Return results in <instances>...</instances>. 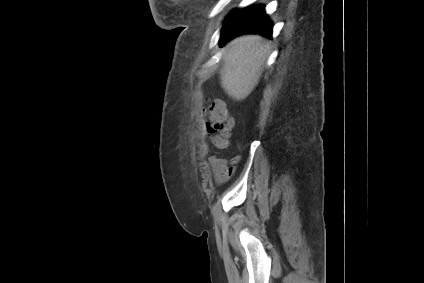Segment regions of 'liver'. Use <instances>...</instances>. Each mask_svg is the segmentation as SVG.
<instances>
[{
  "mask_svg": "<svg viewBox=\"0 0 424 283\" xmlns=\"http://www.w3.org/2000/svg\"><path fill=\"white\" fill-rule=\"evenodd\" d=\"M269 45L258 35H245L232 40L224 56L221 85L236 100L245 99L258 84Z\"/></svg>",
  "mask_w": 424,
  "mask_h": 283,
  "instance_id": "6515ba94",
  "label": "liver"
}]
</instances>
